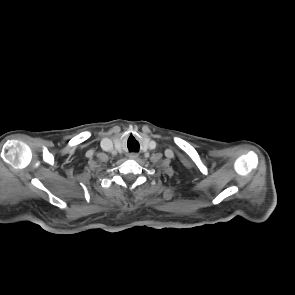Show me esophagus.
Returning <instances> with one entry per match:
<instances>
[{
	"instance_id": "obj_1",
	"label": "esophagus",
	"mask_w": 295,
	"mask_h": 295,
	"mask_svg": "<svg viewBox=\"0 0 295 295\" xmlns=\"http://www.w3.org/2000/svg\"><path fill=\"white\" fill-rule=\"evenodd\" d=\"M138 157V154L137 153H131L129 154V158L130 159H136Z\"/></svg>"
}]
</instances>
